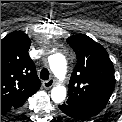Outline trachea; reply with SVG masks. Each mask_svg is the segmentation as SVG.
Returning a JSON list of instances; mask_svg holds the SVG:
<instances>
[{
  "mask_svg": "<svg viewBox=\"0 0 122 122\" xmlns=\"http://www.w3.org/2000/svg\"><path fill=\"white\" fill-rule=\"evenodd\" d=\"M40 78L42 80H48L49 79V71L46 68H43L40 72Z\"/></svg>",
  "mask_w": 122,
  "mask_h": 122,
  "instance_id": "3493384b",
  "label": "trachea"
}]
</instances>
